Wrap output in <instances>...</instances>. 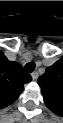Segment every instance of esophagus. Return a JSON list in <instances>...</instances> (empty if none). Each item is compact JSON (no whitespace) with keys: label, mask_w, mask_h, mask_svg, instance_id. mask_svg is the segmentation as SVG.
<instances>
[{"label":"esophagus","mask_w":63,"mask_h":123,"mask_svg":"<svg viewBox=\"0 0 63 123\" xmlns=\"http://www.w3.org/2000/svg\"><path fill=\"white\" fill-rule=\"evenodd\" d=\"M31 75H32V78H33V79H36V78L38 77V72H37V71H33V72L31 73Z\"/></svg>","instance_id":"1"}]
</instances>
